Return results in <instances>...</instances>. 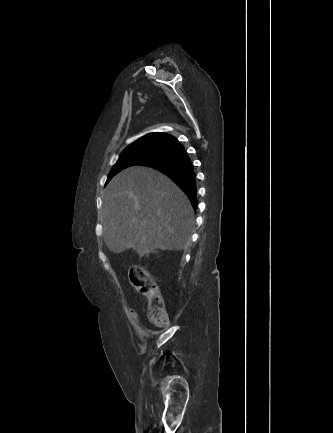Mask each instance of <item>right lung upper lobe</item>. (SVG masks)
I'll use <instances>...</instances> for the list:
<instances>
[{"mask_svg": "<svg viewBox=\"0 0 333 433\" xmlns=\"http://www.w3.org/2000/svg\"><path fill=\"white\" fill-rule=\"evenodd\" d=\"M168 137H171L174 140H177L176 138L172 137L171 135H168L165 133H149V134L142 136L141 138H139L138 140L133 142L131 145H137L139 143L148 142V141H157V142H160L163 144V142L168 140Z\"/></svg>", "mask_w": 333, "mask_h": 433, "instance_id": "cb5924a9", "label": "right lung upper lobe"}]
</instances>
